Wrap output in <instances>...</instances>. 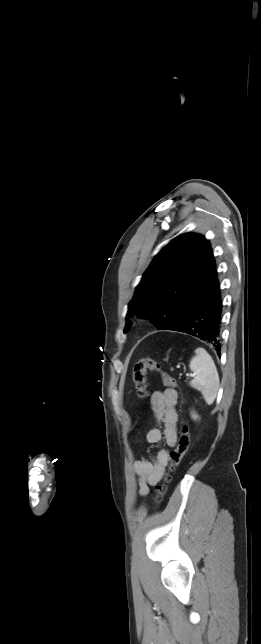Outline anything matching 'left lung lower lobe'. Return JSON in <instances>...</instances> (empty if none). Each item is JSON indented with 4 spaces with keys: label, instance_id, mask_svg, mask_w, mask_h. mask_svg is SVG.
Returning a JSON list of instances; mask_svg holds the SVG:
<instances>
[{
    "label": "left lung lower lobe",
    "instance_id": "left-lung-lower-lobe-1",
    "mask_svg": "<svg viewBox=\"0 0 261 644\" xmlns=\"http://www.w3.org/2000/svg\"><path fill=\"white\" fill-rule=\"evenodd\" d=\"M222 295L217 277L210 289L176 323L166 330L179 331L195 336L212 345L220 354Z\"/></svg>",
    "mask_w": 261,
    "mask_h": 644
}]
</instances>
